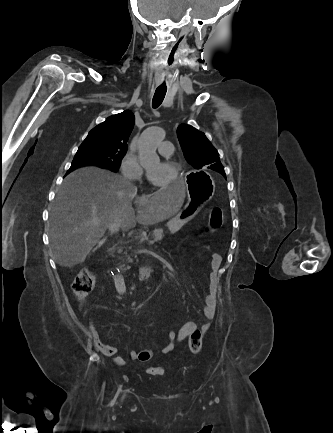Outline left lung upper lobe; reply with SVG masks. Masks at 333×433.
Returning <instances> with one entry per match:
<instances>
[{
    "instance_id": "obj_1",
    "label": "left lung upper lobe",
    "mask_w": 333,
    "mask_h": 433,
    "mask_svg": "<svg viewBox=\"0 0 333 433\" xmlns=\"http://www.w3.org/2000/svg\"><path fill=\"white\" fill-rule=\"evenodd\" d=\"M177 135L186 160L194 168L216 166L215 169L218 172L222 173L221 170L224 171L217 150L204 133L190 125L181 124L177 129Z\"/></svg>"
}]
</instances>
